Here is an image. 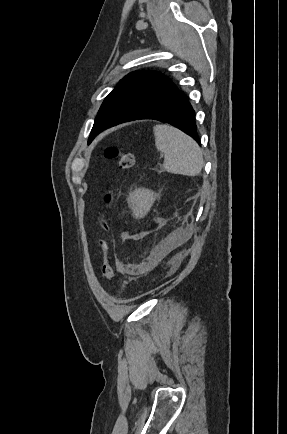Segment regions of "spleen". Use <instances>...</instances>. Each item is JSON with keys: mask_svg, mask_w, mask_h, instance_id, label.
<instances>
[{"mask_svg": "<svg viewBox=\"0 0 287 434\" xmlns=\"http://www.w3.org/2000/svg\"><path fill=\"white\" fill-rule=\"evenodd\" d=\"M153 131L155 146L164 153L165 171L185 176H196L201 172L203 155L191 137L169 125H156Z\"/></svg>", "mask_w": 287, "mask_h": 434, "instance_id": "obj_1", "label": "spleen"}]
</instances>
